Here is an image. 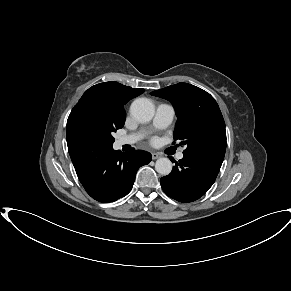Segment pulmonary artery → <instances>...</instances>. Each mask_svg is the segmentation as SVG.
Instances as JSON below:
<instances>
[{"label": "pulmonary artery", "instance_id": "obj_1", "mask_svg": "<svg viewBox=\"0 0 291 291\" xmlns=\"http://www.w3.org/2000/svg\"><path fill=\"white\" fill-rule=\"evenodd\" d=\"M174 116H175L174 107L171 104L161 103L156 108L153 125L155 128H159V129L165 128L169 124H171V122L174 119ZM145 134H146V131L140 130L138 132L119 138L117 140V144L119 146L124 145V144H133L139 141L140 139H142L145 136ZM177 158L182 159L183 153L180 152L177 155Z\"/></svg>", "mask_w": 291, "mask_h": 291}]
</instances>
